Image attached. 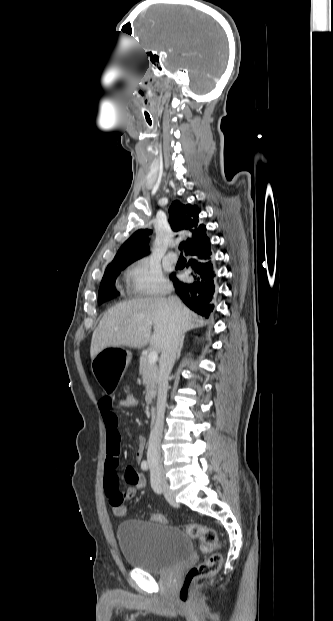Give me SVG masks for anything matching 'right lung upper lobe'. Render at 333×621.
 <instances>
[{
    "mask_svg": "<svg viewBox=\"0 0 333 621\" xmlns=\"http://www.w3.org/2000/svg\"><path fill=\"white\" fill-rule=\"evenodd\" d=\"M199 212L200 209L197 206L184 205L178 200L174 201L169 208V222L173 231H189L192 233V238L185 242V253L192 249L206 248L210 245L205 225L198 223ZM151 233L150 229H140L134 232L121 246L108 267L131 264L147 255L149 245L146 241H148V236Z\"/></svg>",
    "mask_w": 333,
    "mask_h": 621,
    "instance_id": "1",
    "label": "right lung upper lobe"
}]
</instances>
